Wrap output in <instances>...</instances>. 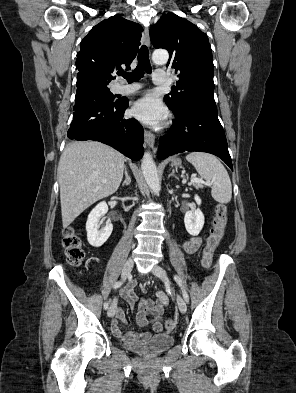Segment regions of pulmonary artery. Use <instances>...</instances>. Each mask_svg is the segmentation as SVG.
Masks as SVG:
<instances>
[{"label":"pulmonary artery","mask_w":296,"mask_h":393,"mask_svg":"<svg viewBox=\"0 0 296 393\" xmlns=\"http://www.w3.org/2000/svg\"><path fill=\"white\" fill-rule=\"evenodd\" d=\"M168 80L167 77V73L163 70H157L155 71V73L153 74V78L152 81L154 84H163L166 83ZM140 85L139 84H132V85H125V84H117L115 87V91L118 94H123V95H128V94H132L135 93L136 91H138L140 89Z\"/></svg>","instance_id":"e3ab8cb5"}]
</instances>
